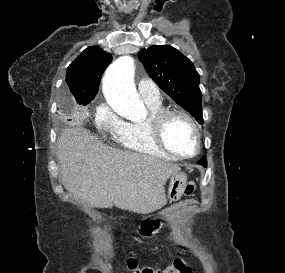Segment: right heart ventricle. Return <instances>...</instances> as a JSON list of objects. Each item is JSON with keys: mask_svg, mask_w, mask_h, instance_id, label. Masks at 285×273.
<instances>
[{"mask_svg": "<svg viewBox=\"0 0 285 273\" xmlns=\"http://www.w3.org/2000/svg\"><path fill=\"white\" fill-rule=\"evenodd\" d=\"M150 111V116L164 109L162 102H145ZM149 116V117H150ZM149 118L141 122H125L122 129L115 136L117 143L124 149L141 154L175 159L161 149L152 137Z\"/></svg>", "mask_w": 285, "mask_h": 273, "instance_id": "e07e8e85", "label": "right heart ventricle"}]
</instances>
